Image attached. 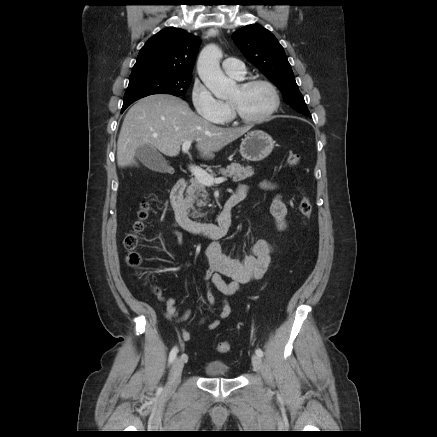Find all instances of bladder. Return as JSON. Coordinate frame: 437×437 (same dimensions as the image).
<instances>
[{"label":"bladder","instance_id":"bladder-1","mask_svg":"<svg viewBox=\"0 0 437 437\" xmlns=\"http://www.w3.org/2000/svg\"><path fill=\"white\" fill-rule=\"evenodd\" d=\"M205 373L209 377H228L231 373L230 367L222 361H212L206 364Z\"/></svg>","mask_w":437,"mask_h":437}]
</instances>
